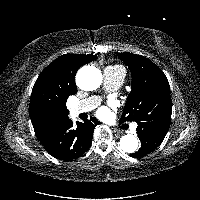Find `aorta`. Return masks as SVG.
I'll return each mask as SVG.
<instances>
[{
    "label": "aorta",
    "instance_id": "obj_1",
    "mask_svg": "<svg viewBox=\"0 0 200 200\" xmlns=\"http://www.w3.org/2000/svg\"><path fill=\"white\" fill-rule=\"evenodd\" d=\"M77 84L79 88L85 91H93L102 83V74L94 66L82 67L77 73ZM138 139L131 134L121 137L119 146L125 153H134L138 149Z\"/></svg>",
    "mask_w": 200,
    "mask_h": 200
}]
</instances>
